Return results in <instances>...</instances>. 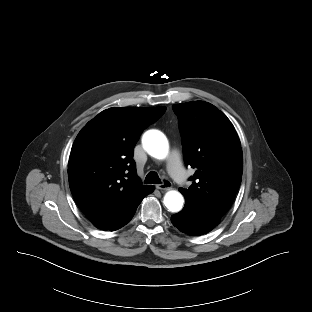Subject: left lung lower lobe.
<instances>
[{"label":"left lung lower lobe","mask_w":312,"mask_h":312,"mask_svg":"<svg viewBox=\"0 0 312 312\" xmlns=\"http://www.w3.org/2000/svg\"><path fill=\"white\" fill-rule=\"evenodd\" d=\"M171 221L181 232L189 235H202L216 227L220 218L185 203L181 212L171 216Z\"/></svg>","instance_id":"1"}]
</instances>
